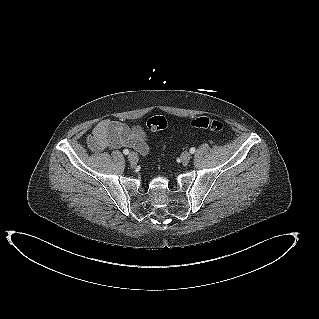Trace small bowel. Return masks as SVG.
<instances>
[{"mask_svg":"<svg viewBox=\"0 0 319 319\" xmlns=\"http://www.w3.org/2000/svg\"><path fill=\"white\" fill-rule=\"evenodd\" d=\"M88 143L94 152L126 147L146 155L150 150L147 133L140 125L128 126L110 119H104L95 126Z\"/></svg>","mask_w":319,"mask_h":319,"instance_id":"small-bowel-1","label":"small bowel"}]
</instances>
